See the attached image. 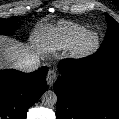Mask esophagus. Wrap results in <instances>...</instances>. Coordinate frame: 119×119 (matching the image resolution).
I'll list each match as a JSON object with an SVG mask.
<instances>
[{"label":"esophagus","mask_w":119,"mask_h":119,"mask_svg":"<svg viewBox=\"0 0 119 119\" xmlns=\"http://www.w3.org/2000/svg\"><path fill=\"white\" fill-rule=\"evenodd\" d=\"M56 79L57 73L55 72V70H49L46 76L47 84L52 86L55 83Z\"/></svg>","instance_id":"obj_1"}]
</instances>
